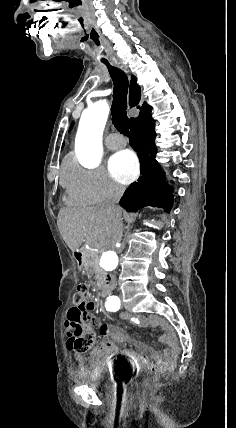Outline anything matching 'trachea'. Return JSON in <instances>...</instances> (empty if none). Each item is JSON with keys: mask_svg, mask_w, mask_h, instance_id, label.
<instances>
[{"mask_svg": "<svg viewBox=\"0 0 236 428\" xmlns=\"http://www.w3.org/2000/svg\"><path fill=\"white\" fill-rule=\"evenodd\" d=\"M84 30L90 29V39L91 45L96 47L99 45L102 36L100 33H97V29L93 27L92 24L84 23ZM97 59L99 64H105L108 68L109 74L113 80V102L111 107L112 120L115 127L119 130L120 133L129 136V119L127 117V93H128V77L124 71L120 68L112 67L109 63L108 52L104 51L102 47L96 48Z\"/></svg>", "mask_w": 236, "mask_h": 428, "instance_id": "3493384b", "label": "trachea"}]
</instances>
